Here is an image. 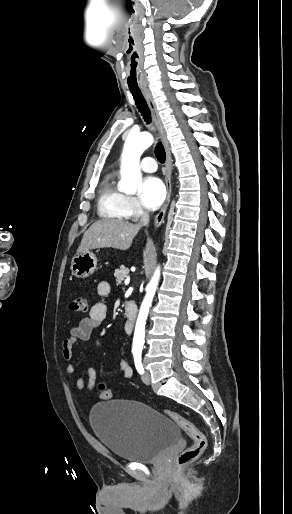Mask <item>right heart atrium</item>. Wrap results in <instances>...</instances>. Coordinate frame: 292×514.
I'll return each mask as SVG.
<instances>
[{
	"label": "right heart atrium",
	"mask_w": 292,
	"mask_h": 514,
	"mask_svg": "<svg viewBox=\"0 0 292 514\" xmlns=\"http://www.w3.org/2000/svg\"><path fill=\"white\" fill-rule=\"evenodd\" d=\"M127 204H128V209L130 211H135L138 208V203L136 202V200L133 197H127Z\"/></svg>",
	"instance_id": "right-heart-atrium-1"
}]
</instances>
